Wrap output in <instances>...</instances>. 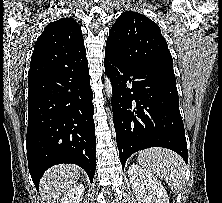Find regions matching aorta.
<instances>
[{"label":"aorta","mask_w":222,"mask_h":203,"mask_svg":"<svg viewBox=\"0 0 222 203\" xmlns=\"http://www.w3.org/2000/svg\"><path fill=\"white\" fill-rule=\"evenodd\" d=\"M105 91L108 99L111 100L113 95V87L111 79L107 76L105 77Z\"/></svg>","instance_id":"762f6f07"}]
</instances>
